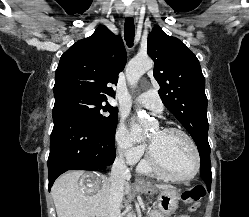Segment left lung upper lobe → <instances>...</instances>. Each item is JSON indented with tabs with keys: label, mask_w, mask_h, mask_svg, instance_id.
Listing matches in <instances>:
<instances>
[{
	"label": "left lung upper lobe",
	"mask_w": 249,
	"mask_h": 217,
	"mask_svg": "<svg viewBox=\"0 0 249 217\" xmlns=\"http://www.w3.org/2000/svg\"><path fill=\"white\" fill-rule=\"evenodd\" d=\"M147 53L155 63L153 75L160 86L162 102L197 145L200 174H211L205 78L197 57L159 26L149 34Z\"/></svg>",
	"instance_id": "5c2ea615"
}]
</instances>
